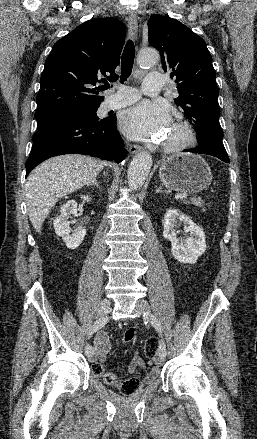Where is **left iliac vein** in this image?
I'll use <instances>...</instances> for the list:
<instances>
[{
  "label": "left iliac vein",
  "instance_id": "left-iliac-vein-1",
  "mask_svg": "<svg viewBox=\"0 0 257 439\" xmlns=\"http://www.w3.org/2000/svg\"><path fill=\"white\" fill-rule=\"evenodd\" d=\"M136 309L142 314H146L145 320H148L149 315L147 314H149L150 312V307L146 300L143 299L138 300L136 302ZM156 361L158 365H162L165 361V357L159 353L158 356L156 357Z\"/></svg>",
  "mask_w": 257,
  "mask_h": 439
}]
</instances>
